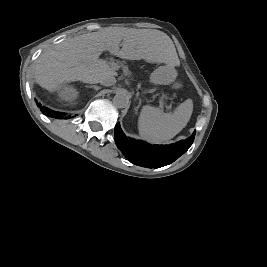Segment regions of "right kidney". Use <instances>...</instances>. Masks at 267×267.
Here are the masks:
<instances>
[{
    "label": "right kidney",
    "mask_w": 267,
    "mask_h": 267,
    "mask_svg": "<svg viewBox=\"0 0 267 267\" xmlns=\"http://www.w3.org/2000/svg\"><path fill=\"white\" fill-rule=\"evenodd\" d=\"M58 95L61 100L74 101L78 97L79 92L72 85H69L60 88Z\"/></svg>",
    "instance_id": "obj_1"
}]
</instances>
